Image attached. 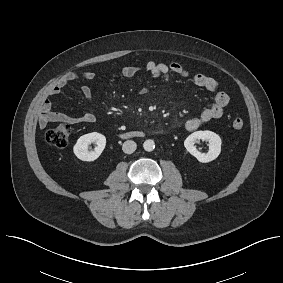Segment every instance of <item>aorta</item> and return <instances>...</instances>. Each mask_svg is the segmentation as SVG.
<instances>
[{
	"label": "aorta",
	"instance_id": "762f6f07",
	"mask_svg": "<svg viewBox=\"0 0 283 283\" xmlns=\"http://www.w3.org/2000/svg\"><path fill=\"white\" fill-rule=\"evenodd\" d=\"M143 148L145 151L147 152H151L155 149V143L153 140H146L144 143H143Z\"/></svg>",
	"mask_w": 283,
	"mask_h": 283
}]
</instances>
